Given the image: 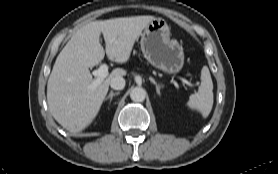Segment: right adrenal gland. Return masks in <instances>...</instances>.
<instances>
[{"label": "right adrenal gland", "instance_id": "1", "mask_svg": "<svg viewBox=\"0 0 278 174\" xmlns=\"http://www.w3.org/2000/svg\"><path fill=\"white\" fill-rule=\"evenodd\" d=\"M119 93H120V92H115V93H114V92L111 91L110 94L105 98V101L108 100V99H110V103H111V101H112V99H113V96H117V95H119Z\"/></svg>", "mask_w": 278, "mask_h": 174}]
</instances>
